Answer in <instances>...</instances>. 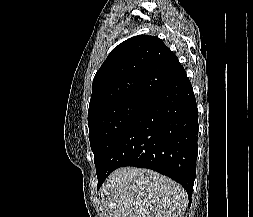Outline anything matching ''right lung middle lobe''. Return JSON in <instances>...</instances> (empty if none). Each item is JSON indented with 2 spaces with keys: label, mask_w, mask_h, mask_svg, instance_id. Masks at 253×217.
<instances>
[{
  "label": "right lung middle lobe",
  "mask_w": 253,
  "mask_h": 217,
  "mask_svg": "<svg viewBox=\"0 0 253 217\" xmlns=\"http://www.w3.org/2000/svg\"><path fill=\"white\" fill-rule=\"evenodd\" d=\"M148 101L129 97L106 105L88 117L89 140L98 180L105 173L106 160L115 143Z\"/></svg>",
  "instance_id": "1"
}]
</instances>
